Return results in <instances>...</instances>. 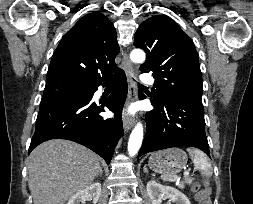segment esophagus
<instances>
[{"label":"esophagus","instance_id":"1","mask_svg":"<svg viewBox=\"0 0 253 204\" xmlns=\"http://www.w3.org/2000/svg\"><path fill=\"white\" fill-rule=\"evenodd\" d=\"M122 67L126 73L127 82H128V98H127V105H128L131 102L136 100L137 92H136V87H135V83L133 79L134 74H135L134 68L129 59L127 52L123 54ZM134 124H135V118L133 116H129L125 114L123 117V127H124L125 132H128L133 127Z\"/></svg>","mask_w":253,"mask_h":204}]
</instances>
